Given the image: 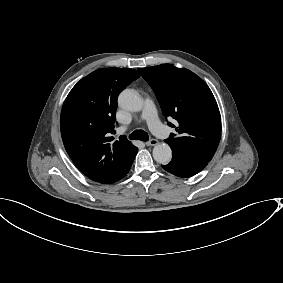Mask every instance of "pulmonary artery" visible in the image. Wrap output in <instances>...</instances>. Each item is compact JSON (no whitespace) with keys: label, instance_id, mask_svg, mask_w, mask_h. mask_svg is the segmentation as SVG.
<instances>
[{"label":"pulmonary artery","instance_id":"e3ab8cb5","mask_svg":"<svg viewBox=\"0 0 283 283\" xmlns=\"http://www.w3.org/2000/svg\"><path fill=\"white\" fill-rule=\"evenodd\" d=\"M152 101L149 98H144L143 102H142V109L143 112L140 114V117H144V112L146 117V124L148 126H151V131L154 134H159V136L161 138H168L170 136V129L168 127H163V125L160 122H157V117L156 115V108L154 106H152ZM120 131L124 132L126 130L125 127H120L119 128Z\"/></svg>","mask_w":283,"mask_h":283}]
</instances>
